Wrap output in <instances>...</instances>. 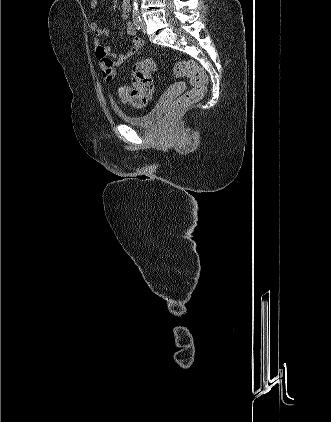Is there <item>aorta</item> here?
Listing matches in <instances>:
<instances>
[{"label": "aorta", "instance_id": "1", "mask_svg": "<svg viewBox=\"0 0 331 422\" xmlns=\"http://www.w3.org/2000/svg\"><path fill=\"white\" fill-rule=\"evenodd\" d=\"M133 10H137L138 9V0H133Z\"/></svg>", "mask_w": 331, "mask_h": 422}]
</instances>
